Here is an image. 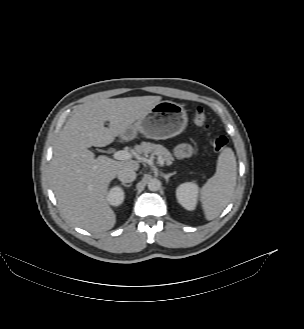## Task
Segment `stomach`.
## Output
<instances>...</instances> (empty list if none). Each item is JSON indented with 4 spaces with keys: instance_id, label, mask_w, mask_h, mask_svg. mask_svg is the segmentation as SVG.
<instances>
[{
    "instance_id": "0dacf381",
    "label": "stomach",
    "mask_w": 304,
    "mask_h": 329,
    "mask_svg": "<svg viewBox=\"0 0 304 329\" xmlns=\"http://www.w3.org/2000/svg\"><path fill=\"white\" fill-rule=\"evenodd\" d=\"M187 122V113L182 105L161 101L134 125L127 127L120 136L123 140H131L140 132L150 139H168L180 134Z\"/></svg>"
}]
</instances>
